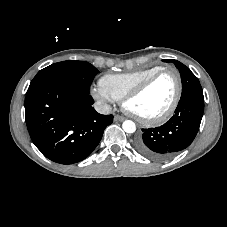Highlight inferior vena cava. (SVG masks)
<instances>
[{
    "label": "inferior vena cava",
    "instance_id": "1",
    "mask_svg": "<svg viewBox=\"0 0 227 227\" xmlns=\"http://www.w3.org/2000/svg\"><path fill=\"white\" fill-rule=\"evenodd\" d=\"M94 108L100 114H110L112 111L111 106L105 103H96Z\"/></svg>",
    "mask_w": 227,
    "mask_h": 227
}]
</instances>
